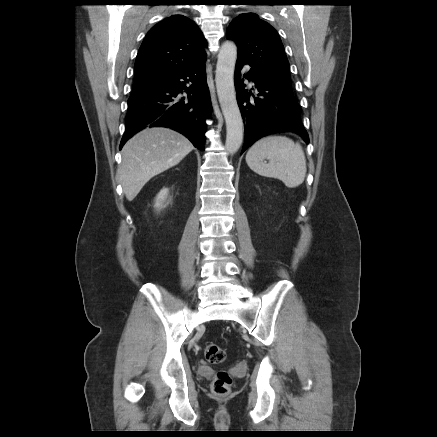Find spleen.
<instances>
[{
	"instance_id": "1",
	"label": "spleen",
	"mask_w": 437,
	"mask_h": 437,
	"mask_svg": "<svg viewBox=\"0 0 437 437\" xmlns=\"http://www.w3.org/2000/svg\"><path fill=\"white\" fill-rule=\"evenodd\" d=\"M246 162L257 174L279 179L288 188L302 184L307 172L301 145L286 136H267L258 140L248 150Z\"/></svg>"
}]
</instances>
